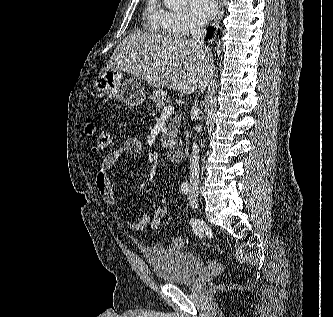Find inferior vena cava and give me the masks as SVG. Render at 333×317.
Here are the masks:
<instances>
[{
	"label": "inferior vena cava",
	"mask_w": 333,
	"mask_h": 317,
	"mask_svg": "<svg viewBox=\"0 0 333 317\" xmlns=\"http://www.w3.org/2000/svg\"><path fill=\"white\" fill-rule=\"evenodd\" d=\"M191 34H192V39L191 41L194 44H197L201 48L204 47V39L206 36V30L200 25L199 23L193 24L191 27ZM207 80H203L200 83V92L203 93L205 90V87L207 85ZM199 107L197 104V101H195V105L192 107V114L197 117L199 114ZM190 187L192 189L197 190L199 187V148L196 142H193L192 145V152L190 156Z\"/></svg>",
	"instance_id": "inferior-vena-cava-1"
}]
</instances>
